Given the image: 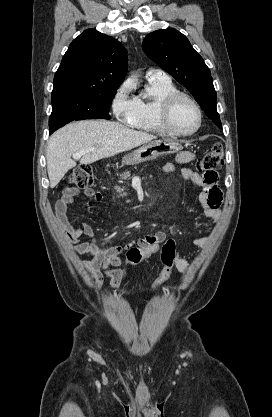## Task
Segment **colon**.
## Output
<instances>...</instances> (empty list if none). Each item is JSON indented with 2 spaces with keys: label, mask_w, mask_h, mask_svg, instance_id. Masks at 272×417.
<instances>
[{
  "label": "colon",
  "mask_w": 272,
  "mask_h": 417,
  "mask_svg": "<svg viewBox=\"0 0 272 417\" xmlns=\"http://www.w3.org/2000/svg\"><path fill=\"white\" fill-rule=\"evenodd\" d=\"M224 164V149L221 144L216 143L198 162L197 169L205 174L216 173L218 169ZM70 184L87 188L93 183V169L90 165L81 164L75 167L69 177ZM159 255L162 269L153 283V289H161L169 280L174 267L176 258V242L172 238L154 239L150 241H142L137 245L131 247L126 252V260L128 267H135L141 262L151 258L154 255ZM127 276V270H125L118 287L122 284L123 280Z\"/></svg>",
  "instance_id": "1"
}]
</instances>
